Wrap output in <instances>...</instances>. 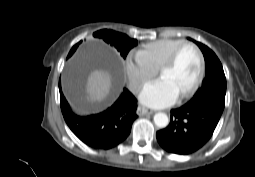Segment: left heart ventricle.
Masks as SVG:
<instances>
[{
  "instance_id": "b2bd125f",
  "label": "left heart ventricle",
  "mask_w": 255,
  "mask_h": 177,
  "mask_svg": "<svg viewBox=\"0 0 255 177\" xmlns=\"http://www.w3.org/2000/svg\"><path fill=\"white\" fill-rule=\"evenodd\" d=\"M199 70V57L190 46L182 49L175 65L161 73V78L170 81L180 94L186 91L195 81Z\"/></svg>"
}]
</instances>
